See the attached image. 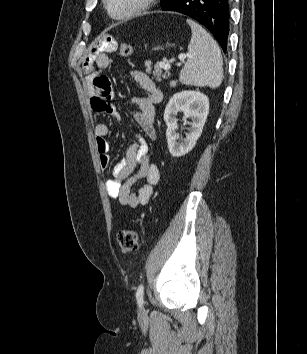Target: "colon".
Returning <instances> with one entry per match:
<instances>
[{"mask_svg": "<svg viewBox=\"0 0 307 354\" xmlns=\"http://www.w3.org/2000/svg\"><path fill=\"white\" fill-rule=\"evenodd\" d=\"M120 55L128 58L132 54V47L128 43H122L119 47ZM140 234L137 230L126 229L119 232L117 240L121 250L124 253H133L139 245Z\"/></svg>", "mask_w": 307, "mask_h": 354, "instance_id": "colon-1", "label": "colon"}]
</instances>
